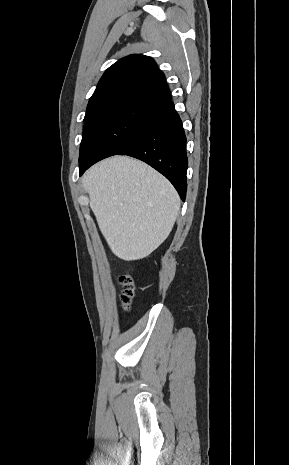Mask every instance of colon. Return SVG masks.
Segmentation results:
<instances>
[{
	"instance_id": "colon-1",
	"label": "colon",
	"mask_w": 289,
	"mask_h": 465,
	"mask_svg": "<svg viewBox=\"0 0 289 465\" xmlns=\"http://www.w3.org/2000/svg\"><path fill=\"white\" fill-rule=\"evenodd\" d=\"M119 281L122 285V293L120 295L121 306L124 311H128L134 296L135 285L132 278L128 274L122 275Z\"/></svg>"
}]
</instances>
